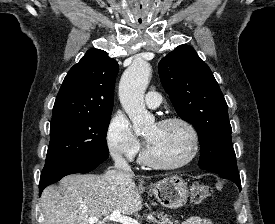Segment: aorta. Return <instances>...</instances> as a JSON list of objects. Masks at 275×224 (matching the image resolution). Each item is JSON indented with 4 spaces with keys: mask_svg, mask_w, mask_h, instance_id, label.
<instances>
[{
    "mask_svg": "<svg viewBox=\"0 0 275 224\" xmlns=\"http://www.w3.org/2000/svg\"><path fill=\"white\" fill-rule=\"evenodd\" d=\"M150 74V64L138 60L125 70L119 84L122 107L132 121L136 134L145 132L154 124V117L146 110L144 103V93Z\"/></svg>",
    "mask_w": 275,
    "mask_h": 224,
    "instance_id": "762f6f07",
    "label": "aorta"
}]
</instances>
